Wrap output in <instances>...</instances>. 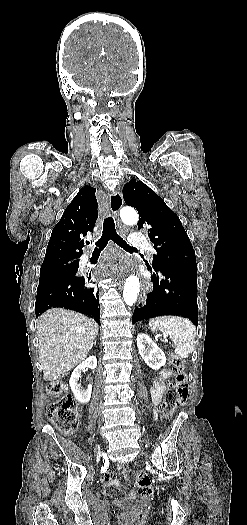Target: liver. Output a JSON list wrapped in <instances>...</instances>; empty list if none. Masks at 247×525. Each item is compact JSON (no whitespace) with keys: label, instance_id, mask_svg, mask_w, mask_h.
<instances>
[{"label":"liver","instance_id":"6515ba94","mask_svg":"<svg viewBox=\"0 0 247 525\" xmlns=\"http://www.w3.org/2000/svg\"><path fill=\"white\" fill-rule=\"evenodd\" d=\"M98 325L76 311L48 309L37 321L39 361L44 377H57L85 361Z\"/></svg>","mask_w":247,"mask_h":525}]
</instances>
